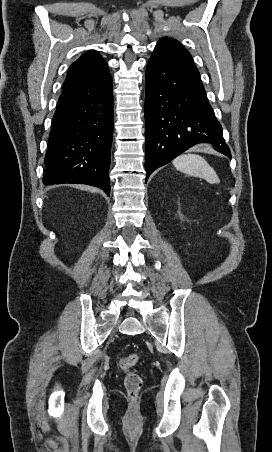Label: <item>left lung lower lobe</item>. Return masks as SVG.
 <instances>
[{
	"label": "left lung lower lobe",
	"instance_id": "left-lung-lower-lobe-1",
	"mask_svg": "<svg viewBox=\"0 0 272 452\" xmlns=\"http://www.w3.org/2000/svg\"><path fill=\"white\" fill-rule=\"evenodd\" d=\"M146 178L198 143L231 158L193 59L157 44L146 71Z\"/></svg>",
	"mask_w": 272,
	"mask_h": 452
}]
</instances>
